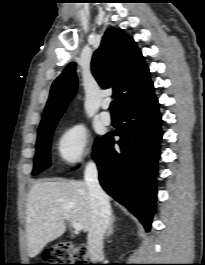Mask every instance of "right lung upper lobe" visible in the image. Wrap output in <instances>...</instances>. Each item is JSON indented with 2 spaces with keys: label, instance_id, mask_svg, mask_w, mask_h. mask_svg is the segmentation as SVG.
<instances>
[{
  "label": "right lung upper lobe",
  "instance_id": "cb5924a9",
  "mask_svg": "<svg viewBox=\"0 0 205 265\" xmlns=\"http://www.w3.org/2000/svg\"><path fill=\"white\" fill-rule=\"evenodd\" d=\"M76 64L71 62L53 82L39 130L57 124L77 88ZM92 74L99 85L113 87L120 112L145 100L153 92L149 68L134 40L109 28L92 59Z\"/></svg>",
  "mask_w": 205,
  "mask_h": 265
}]
</instances>
